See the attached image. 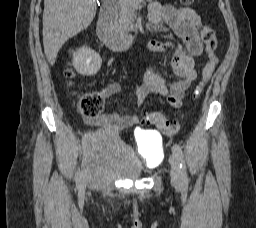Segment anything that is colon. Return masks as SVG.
<instances>
[{"label": "colon", "mask_w": 256, "mask_h": 228, "mask_svg": "<svg viewBox=\"0 0 256 228\" xmlns=\"http://www.w3.org/2000/svg\"><path fill=\"white\" fill-rule=\"evenodd\" d=\"M184 5H190L194 0H180ZM202 38L206 46V51L208 54L209 61L204 66L202 70L201 79L196 85L193 91V98H198L204 91L205 86L212 77L215 68L218 63V59L214 54L217 46V41L214 31L205 26L202 28ZM68 77L72 76V71L68 69L66 71ZM104 107V95L101 92H91L83 94L78 100V110L79 112L88 119H94L100 116ZM144 123L148 125H156L160 128L172 132L174 130V124L167 120L165 116L160 112H150L144 117Z\"/></svg>", "instance_id": "obj_1"}]
</instances>
